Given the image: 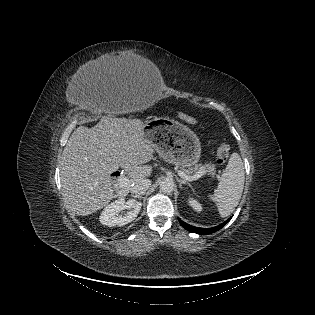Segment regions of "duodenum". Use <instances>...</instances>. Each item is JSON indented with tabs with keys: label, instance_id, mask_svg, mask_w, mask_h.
I'll return each mask as SVG.
<instances>
[{
	"label": "duodenum",
	"instance_id": "410a0bca",
	"mask_svg": "<svg viewBox=\"0 0 315 315\" xmlns=\"http://www.w3.org/2000/svg\"><path fill=\"white\" fill-rule=\"evenodd\" d=\"M119 176H120L119 172H116V173L113 174V177H115V178H118Z\"/></svg>",
	"mask_w": 315,
	"mask_h": 315
}]
</instances>
